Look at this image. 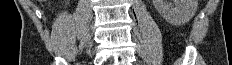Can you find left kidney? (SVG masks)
Wrapping results in <instances>:
<instances>
[{"label": "left kidney", "mask_w": 232, "mask_h": 65, "mask_svg": "<svg viewBox=\"0 0 232 65\" xmlns=\"http://www.w3.org/2000/svg\"><path fill=\"white\" fill-rule=\"evenodd\" d=\"M153 5L160 15L170 24L183 25L195 15L197 0H177L175 5L168 0H153Z\"/></svg>", "instance_id": "obj_1"}]
</instances>
